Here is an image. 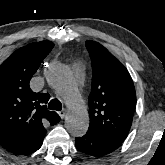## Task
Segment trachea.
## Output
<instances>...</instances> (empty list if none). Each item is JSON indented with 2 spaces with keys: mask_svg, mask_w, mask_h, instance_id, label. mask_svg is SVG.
I'll return each instance as SVG.
<instances>
[{
  "mask_svg": "<svg viewBox=\"0 0 165 165\" xmlns=\"http://www.w3.org/2000/svg\"><path fill=\"white\" fill-rule=\"evenodd\" d=\"M48 109L60 111L62 109V104L58 99H52L48 104Z\"/></svg>",
  "mask_w": 165,
  "mask_h": 165,
  "instance_id": "1",
  "label": "trachea"
}]
</instances>
